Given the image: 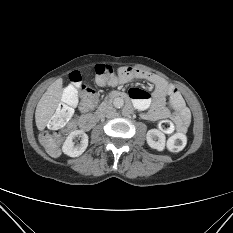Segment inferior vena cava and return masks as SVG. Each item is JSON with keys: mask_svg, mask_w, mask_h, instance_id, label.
I'll return each mask as SVG.
<instances>
[{"mask_svg": "<svg viewBox=\"0 0 233 233\" xmlns=\"http://www.w3.org/2000/svg\"><path fill=\"white\" fill-rule=\"evenodd\" d=\"M105 115L107 118H114L117 116V112L112 106H108L105 111Z\"/></svg>", "mask_w": 233, "mask_h": 233, "instance_id": "602c4592", "label": "inferior vena cava"}]
</instances>
